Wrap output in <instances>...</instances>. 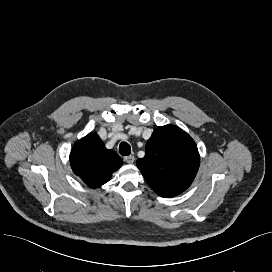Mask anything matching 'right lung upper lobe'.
<instances>
[{
    "label": "right lung upper lobe",
    "instance_id": "obj_1",
    "mask_svg": "<svg viewBox=\"0 0 272 272\" xmlns=\"http://www.w3.org/2000/svg\"><path fill=\"white\" fill-rule=\"evenodd\" d=\"M73 172L91 188L108 182L123 160L115 151L105 148L96 133H89L77 141L70 155Z\"/></svg>",
    "mask_w": 272,
    "mask_h": 272
}]
</instances>
